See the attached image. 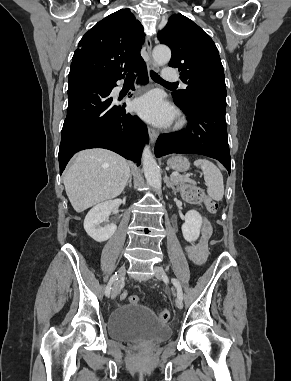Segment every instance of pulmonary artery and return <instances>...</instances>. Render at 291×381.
<instances>
[{"label": "pulmonary artery", "instance_id": "obj_1", "mask_svg": "<svg viewBox=\"0 0 291 381\" xmlns=\"http://www.w3.org/2000/svg\"><path fill=\"white\" fill-rule=\"evenodd\" d=\"M163 77L166 81H177L178 74L176 69L171 66H166L163 70Z\"/></svg>", "mask_w": 291, "mask_h": 381}]
</instances>
